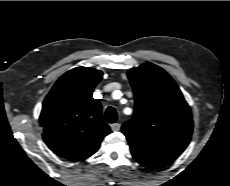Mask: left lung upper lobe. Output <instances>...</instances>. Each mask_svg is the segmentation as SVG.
<instances>
[{"mask_svg":"<svg viewBox=\"0 0 230 186\" xmlns=\"http://www.w3.org/2000/svg\"><path fill=\"white\" fill-rule=\"evenodd\" d=\"M135 97L133 118L122 125L132 155L170 163L190 142L193 121L179 87L161 67L129 70Z\"/></svg>","mask_w":230,"mask_h":186,"instance_id":"5c2ea615","label":"left lung upper lobe"}]
</instances>
